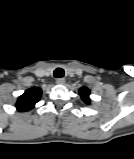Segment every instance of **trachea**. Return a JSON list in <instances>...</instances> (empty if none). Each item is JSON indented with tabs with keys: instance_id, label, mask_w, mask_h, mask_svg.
<instances>
[{
	"instance_id": "1",
	"label": "trachea",
	"mask_w": 134,
	"mask_h": 159,
	"mask_svg": "<svg viewBox=\"0 0 134 159\" xmlns=\"http://www.w3.org/2000/svg\"><path fill=\"white\" fill-rule=\"evenodd\" d=\"M54 77L62 78L64 76V70L62 68H57L54 70Z\"/></svg>"
}]
</instances>
